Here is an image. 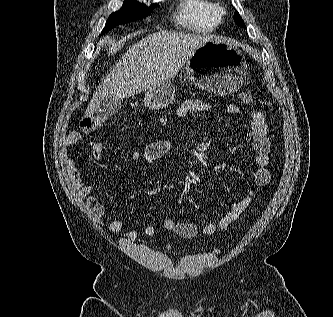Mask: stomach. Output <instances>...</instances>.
<instances>
[{"mask_svg": "<svg viewBox=\"0 0 333 317\" xmlns=\"http://www.w3.org/2000/svg\"><path fill=\"white\" fill-rule=\"evenodd\" d=\"M189 80L197 87L220 96H227L244 83L247 63L244 55L226 39H212L198 47L186 62ZM174 98L168 82L148 90L144 104L150 110L167 107Z\"/></svg>", "mask_w": 333, "mask_h": 317, "instance_id": "1", "label": "stomach"}]
</instances>
